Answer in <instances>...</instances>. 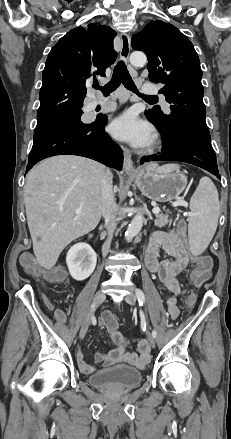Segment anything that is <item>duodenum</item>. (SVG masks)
<instances>
[{"instance_id":"duodenum-1","label":"duodenum","mask_w":231,"mask_h":439,"mask_svg":"<svg viewBox=\"0 0 231 439\" xmlns=\"http://www.w3.org/2000/svg\"><path fill=\"white\" fill-rule=\"evenodd\" d=\"M91 237H92V236L90 235V236H89V239H91Z\"/></svg>"}]
</instances>
